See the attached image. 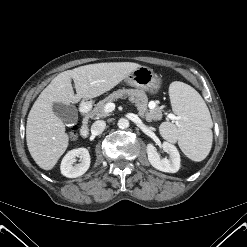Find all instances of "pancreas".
Returning <instances> with one entry per match:
<instances>
[{
    "label": "pancreas",
    "mask_w": 247,
    "mask_h": 247,
    "mask_svg": "<svg viewBox=\"0 0 247 247\" xmlns=\"http://www.w3.org/2000/svg\"><path fill=\"white\" fill-rule=\"evenodd\" d=\"M129 98L131 103L137 107L138 113L141 117H150L153 119H159V115L161 114L160 107H155L152 110L147 109L148 98L143 90L138 89H119L114 91L112 94L99 101L94 109L88 115L89 118H105L110 115V112L105 111V105L107 103H111L118 99Z\"/></svg>",
    "instance_id": "cf45deb5"
}]
</instances>
